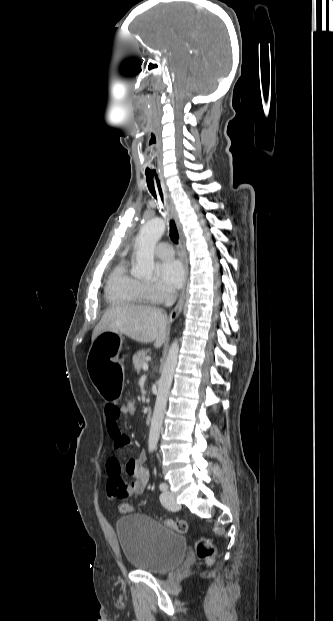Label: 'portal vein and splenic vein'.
I'll list each match as a JSON object with an SVG mask.
<instances>
[{
	"mask_svg": "<svg viewBox=\"0 0 333 621\" xmlns=\"http://www.w3.org/2000/svg\"><path fill=\"white\" fill-rule=\"evenodd\" d=\"M142 368H143V370H148V365L147 364H143Z\"/></svg>",
	"mask_w": 333,
	"mask_h": 621,
	"instance_id": "portal-vein-and-splenic-vein-1",
	"label": "portal vein and splenic vein"
}]
</instances>
